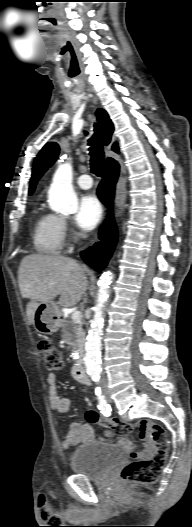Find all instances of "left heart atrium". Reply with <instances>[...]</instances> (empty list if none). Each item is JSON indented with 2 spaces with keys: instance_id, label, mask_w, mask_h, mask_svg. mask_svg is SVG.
I'll return each instance as SVG.
<instances>
[{
  "instance_id": "obj_1",
  "label": "left heart atrium",
  "mask_w": 192,
  "mask_h": 527,
  "mask_svg": "<svg viewBox=\"0 0 192 527\" xmlns=\"http://www.w3.org/2000/svg\"><path fill=\"white\" fill-rule=\"evenodd\" d=\"M102 217V207L93 195H85L80 199L75 222L83 230H92Z\"/></svg>"
}]
</instances>
